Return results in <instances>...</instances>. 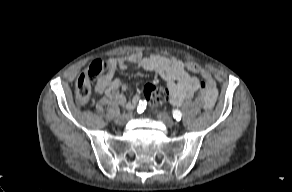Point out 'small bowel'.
<instances>
[{
	"label": "small bowel",
	"mask_w": 292,
	"mask_h": 192,
	"mask_svg": "<svg viewBox=\"0 0 292 192\" xmlns=\"http://www.w3.org/2000/svg\"><path fill=\"white\" fill-rule=\"evenodd\" d=\"M108 63L107 73L99 77L95 91L99 95H106L125 109L133 108L139 96L128 98L126 93H130L131 88L115 79L114 73L129 67L157 73L167 84L169 101L173 106H181L195 95L205 109H211L216 102L218 92L212 75L193 62L136 52L111 59ZM194 74L200 75L201 80Z\"/></svg>",
	"instance_id": "small-bowel-1"
}]
</instances>
